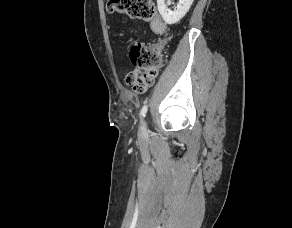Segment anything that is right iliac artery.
<instances>
[{
  "label": "right iliac artery",
  "instance_id": "right-iliac-artery-1",
  "mask_svg": "<svg viewBox=\"0 0 292 228\" xmlns=\"http://www.w3.org/2000/svg\"><path fill=\"white\" fill-rule=\"evenodd\" d=\"M147 109H148L147 105H144V106L142 107V109H141V111H140V116H141V117H144V116H145V114H146V112H147Z\"/></svg>",
  "mask_w": 292,
  "mask_h": 228
}]
</instances>
